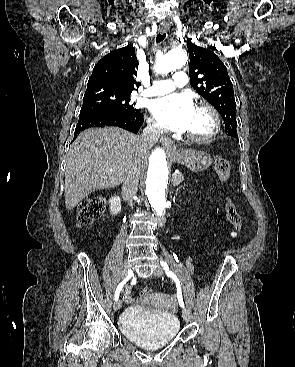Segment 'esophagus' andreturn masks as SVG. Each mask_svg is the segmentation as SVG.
<instances>
[{"mask_svg": "<svg viewBox=\"0 0 295 367\" xmlns=\"http://www.w3.org/2000/svg\"><path fill=\"white\" fill-rule=\"evenodd\" d=\"M167 30H168V25H162L160 27L161 33H165ZM161 142L168 151H175L173 141L168 136L161 137Z\"/></svg>", "mask_w": 295, "mask_h": 367, "instance_id": "1", "label": "esophagus"}]
</instances>
